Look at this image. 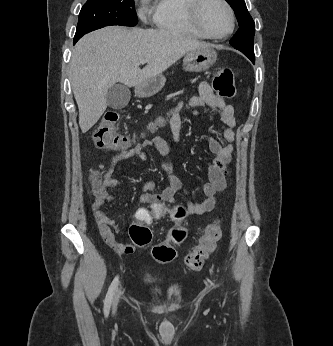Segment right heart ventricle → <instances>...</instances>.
<instances>
[{
  "mask_svg": "<svg viewBox=\"0 0 333 346\" xmlns=\"http://www.w3.org/2000/svg\"><path fill=\"white\" fill-rule=\"evenodd\" d=\"M154 23L162 30L195 39L205 38L194 26L189 13V0H157Z\"/></svg>",
  "mask_w": 333,
  "mask_h": 346,
  "instance_id": "right-heart-ventricle-1",
  "label": "right heart ventricle"
}]
</instances>
